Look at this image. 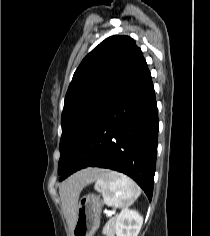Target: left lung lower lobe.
<instances>
[{"instance_id":"obj_1","label":"left lung lower lobe","mask_w":210,"mask_h":236,"mask_svg":"<svg viewBox=\"0 0 210 236\" xmlns=\"http://www.w3.org/2000/svg\"><path fill=\"white\" fill-rule=\"evenodd\" d=\"M157 140V104L146 67L92 123L60 180L86 167L109 168L134 179L151 201Z\"/></svg>"}]
</instances>
